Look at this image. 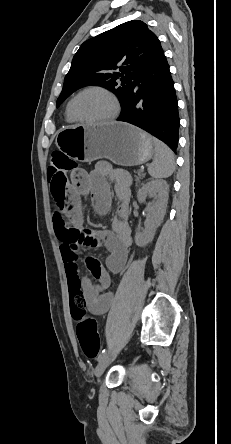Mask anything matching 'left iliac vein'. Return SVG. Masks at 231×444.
I'll return each mask as SVG.
<instances>
[{
  "mask_svg": "<svg viewBox=\"0 0 231 444\" xmlns=\"http://www.w3.org/2000/svg\"><path fill=\"white\" fill-rule=\"evenodd\" d=\"M109 362L110 355L106 353L96 366L95 375L97 378H99L103 374Z\"/></svg>",
  "mask_w": 231,
  "mask_h": 444,
  "instance_id": "1",
  "label": "left iliac vein"
}]
</instances>
